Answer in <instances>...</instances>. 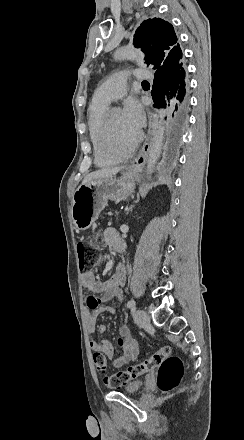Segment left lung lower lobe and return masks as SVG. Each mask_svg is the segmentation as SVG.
<instances>
[{
    "label": "left lung lower lobe",
    "mask_w": 244,
    "mask_h": 440,
    "mask_svg": "<svg viewBox=\"0 0 244 440\" xmlns=\"http://www.w3.org/2000/svg\"><path fill=\"white\" fill-rule=\"evenodd\" d=\"M181 59L182 57L157 69L151 91L154 107L168 106L170 108L163 143L166 154H172L177 150L182 142L188 121L189 100L186 95L185 70Z\"/></svg>",
    "instance_id": "1"
}]
</instances>
